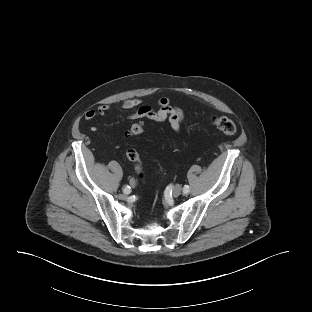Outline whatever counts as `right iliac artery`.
Wrapping results in <instances>:
<instances>
[{
	"mask_svg": "<svg viewBox=\"0 0 312 312\" xmlns=\"http://www.w3.org/2000/svg\"><path fill=\"white\" fill-rule=\"evenodd\" d=\"M123 192H124L125 194L130 193V192H131L130 186H125V187L123 188Z\"/></svg>",
	"mask_w": 312,
	"mask_h": 312,
	"instance_id": "right-iliac-artery-1",
	"label": "right iliac artery"
}]
</instances>
